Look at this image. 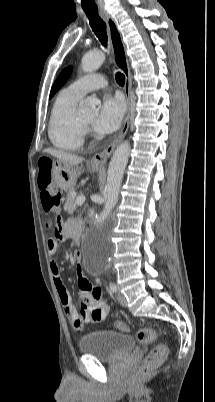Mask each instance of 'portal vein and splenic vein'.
Listing matches in <instances>:
<instances>
[{
	"label": "portal vein and splenic vein",
	"instance_id": "18ae733b",
	"mask_svg": "<svg viewBox=\"0 0 215 402\" xmlns=\"http://www.w3.org/2000/svg\"><path fill=\"white\" fill-rule=\"evenodd\" d=\"M85 202V196H78L76 199L77 205H82Z\"/></svg>",
	"mask_w": 215,
	"mask_h": 402
}]
</instances>
